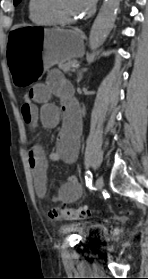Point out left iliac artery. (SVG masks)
Returning a JSON list of instances; mask_svg holds the SVG:
<instances>
[{"mask_svg": "<svg viewBox=\"0 0 148 279\" xmlns=\"http://www.w3.org/2000/svg\"><path fill=\"white\" fill-rule=\"evenodd\" d=\"M85 180H86V186L88 188H91L92 187V173L89 170L85 173Z\"/></svg>", "mask_w": 148, "mask_h": 279, "instance_id": "obj_1", "label": "left iliac artery"}]
</instances>
